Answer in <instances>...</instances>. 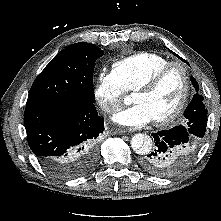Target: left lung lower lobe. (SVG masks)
Returning <instances> with one entry per match:
<instances>
[{
	"instance_id": "0a47b994",
	"label": "left lung lower lobe",
	"mask_w": 221,
	"mask_h": 221,
	"mask_svg": "<svg viewBox=\"0 0 221 221\" xmlns=\"http://www.w3.org/2000/svg\"><path fill=\"white\" fill-rule=\"evenodd\" d=\"M154 149L140 159L148 173L160 177L173 176L184 170L194 157L200 142L184 125L152 133Z\"/></svg>"
}]
</instances>
